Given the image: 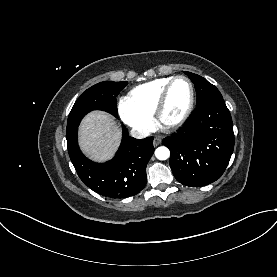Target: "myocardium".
Instances as JSON below:
<instances>
[{
  "label": "myocardium",
  "mask_w": 277,
  "mask_h": 277,
  "mask_svg": "<svg viewBox=\"0 0 277 277\" xmlns=\"http://www.w3.org/2000/svg\"><path fill=\"white\" fill-rule=\"evenodd\" d=\"M178 80H184L185 82H187L189 89H190V98H189V102L188 105L185 109V111L183 112V114L176 119L175 121L172 122H166L163 119V113L168 101V97H169V93L170 90L172 88V86L174 85L175 82H177ZM194 104H195V89H194V85L192 83V81L183 75H178L173 77L168 84L164 87L158 101L157 104L155 106L154 109V119L157 122L158 125H160L162 128L167 129V130H173V129H177L180 126H182L187 119L189 118V116L191 115L193 108H194Z\"/></svg>",
  "instance_id": "obj_1"
}]
</instances>
